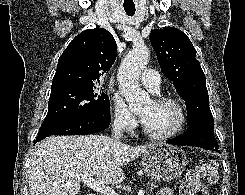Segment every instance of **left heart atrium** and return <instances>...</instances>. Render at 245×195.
Listing matches in <instances>:
<instances>
[{
    "label": "left heart atrium",
    "instance_id": "obj_1",
    "mask_svg": "<svg viewBox=\"0 0 245 195\" xmlns=\"http://www.w3.org/2000/svg\"><path fill=\"white\" fill-rule=\"evenodd\" d=\"M146 120V116L145 115H141V121L144 123Z\"/></svg>",
    "mask_w": 245,
    "mask_h": 195
}]
</instances>
